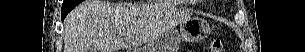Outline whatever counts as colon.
Returning a JSON list of instances; mask_svg holds the SVG:
<instances>
[{
	"label": "colon",
	"instance_id": "colon-1",
	"mask_svg": "<svg viewBox=\"0 0 305 52\" xmlns=\"http://www.w3.org/2000/svg\"><path fill=\"white\" fill-rule=\"evenodd\" d=\"M210 50L212 52H223L224 51V43L221 39L216 38L210 42Z\"/></svg>",
	"mask_w": 305,
	"mask_h": 52
}]
</instances>
